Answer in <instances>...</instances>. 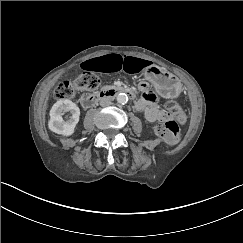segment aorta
<instances>
[{"label":"aorta","mask_w":243,"mask_h":243,"mask_svg":"<svg viewBox=\"0 0 243 243\" xmlns=\"http://www.w3.org/2000/svg\"><path fill=\"white\" fill-rule=\"evenodd\" d=\"M116 100L120 104H125L128 101V96L125 93H119L116 97Z\"/></svg>","instance_id":"obj_1"}]
</instances>
